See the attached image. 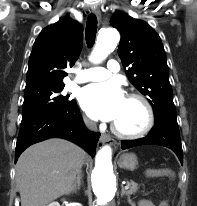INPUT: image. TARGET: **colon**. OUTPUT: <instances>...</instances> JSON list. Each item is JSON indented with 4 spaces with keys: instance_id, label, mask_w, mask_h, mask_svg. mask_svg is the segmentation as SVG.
Here are the masks:
<instances>
[{
    "instance_id": "5ec220e1",
    "label": "colon",
    "mask_w": 197,
    "mask_h": 206,
    "mask_svg": "<svg viewBox=\"0 0 197 206\" xmlns=\"http://www.w3.org/2000/svg\"><path fill=\"white\" fill-rule=\"evenodd\" d=\"M161 206H169L167 202H162Z\"/></svg>"
}]
</instances>
